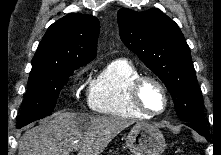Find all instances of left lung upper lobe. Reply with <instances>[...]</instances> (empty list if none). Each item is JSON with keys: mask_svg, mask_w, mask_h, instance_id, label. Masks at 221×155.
<instances>
[{"mask_svg": "<svg viewBox=\"0 0 221 155\" xmlns=\"http://www.w3.org/2000/svg\"><path fill=\"white\" fill-rule=\"evenodd\" d=\"M120 36L165 84L182 122L205 124L202 92L178 25L159 9L118 11Z\"/></svg>", "mask_w": 221, "mask_h": 155, "instance_id": "obj_1", "label": "left lung upper lobe"}]
</instances>
